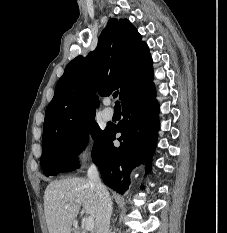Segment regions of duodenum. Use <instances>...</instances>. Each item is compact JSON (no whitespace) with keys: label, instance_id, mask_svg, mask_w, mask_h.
I'll return each mask as SVG.
<instances>
[{"label":"duodenum","instance_id":"410a0bca","mask_svg":"<svg viewBox=\"0 0 227 233\" xmlns=\"http://www.w3.org/2000/svg\"><path fill=\"white\" fill-rule=\"evenodd\" d=\"M72 233H78V232H76V231H73Z\"/></svg>","mask_w":227,"mask_h":233}]
</instances>
